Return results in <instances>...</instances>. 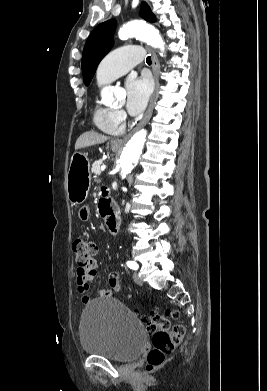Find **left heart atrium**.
Instances as JSON below:
<instances>
[{
    "mask_svg": "<svg viewBox=\"0 0 267 391\" xmlns=\"http://www.w3.org/2000/svg\"><path fill=\"white\" fill-rule=\"evenodd\" d=\"M127 110L132 115L140 114L146 107L150 93L151 84L147 78L130 77L126 81Z\"/></svg>",
    "mask_w": 267,
    "mask_h": 391,
    "instance_id": "obj_1",
    "label": "left heart atrium"
}]
</instances>
